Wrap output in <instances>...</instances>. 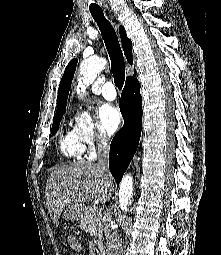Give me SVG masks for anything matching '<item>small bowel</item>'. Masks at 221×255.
<instances>
[{"mask_svg":"<svg viewBox=\"0 0 221 255\" xmlns=\"http://www.w3.org/2000/svg\"><path fill=\"white\" fill-rule=\"evenodd\" d=\"M67 243L73 251L78 252V253L82 251V245L76 236L69 235L67 237Z\"/></svg>","mask_w":221,"mask_h":255,"instance_id":"small-bowel-1","label":"small bowel"}]
</instances>
